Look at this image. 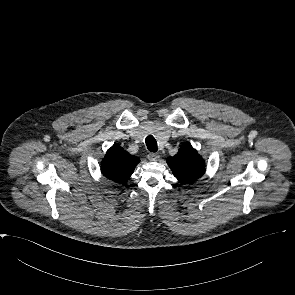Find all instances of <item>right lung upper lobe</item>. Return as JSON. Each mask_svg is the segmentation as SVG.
Wrapping results in <instances>:
<instances>
[{
  "label": "right lung upper lobe",
  "mask_w": 295,
  "mask_h": 295,
  "mask_svg": "<svg viewBox=\"0 0 295 295\" xmlns=\"http://www.w3.org/2000/svg\"><path fill=\"white\" fill-rule=\"evenodd\" d=\"M139 162L138 157L129 154L117 145H113L101 162V171L108 179L124 184Z\"/></svg>",
  "instance_id": "1"
}]
</instances>
